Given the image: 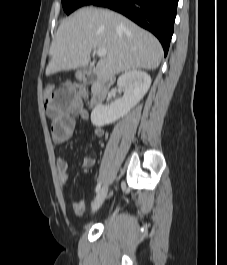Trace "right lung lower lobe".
I'll return each mask as SVG.
<instances>
[{
    "label": "right lung lower lobe",
    "mask_w": 227,
    "mask_h": 265,
    "mask_svg": "<svg viewBox=\"0 0 227 265\" xmlns=\"http://www.w3.org/2000/svg\"><path fill=\"white\" fill-rule=\"evenodd\" d=\"M177 3L178 0H94L91 4L122 13L152 32L161 42L166 56L173 34Z\"/></svg>",
    "instance_id": "obj_1"
}]
</instances>
